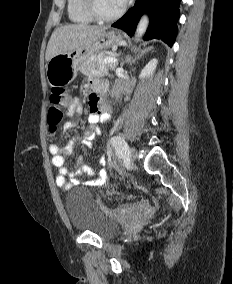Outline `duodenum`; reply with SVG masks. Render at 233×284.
Segmentation results:
<instances>
[{"instance_id": "410a0bca", "label": "duodenum", "mask_w": 233, "mask_h": 284, "mask_svg": "<svg viewBox=\"0 0 233 284\" xmlns=\"http://www.w3.org/2000/svg\"><path fill=\"white\" fill-rule=\"evenodd\" d=\"M102 90H97V95L101 94Z\"/></svg>"}]
</instances>
